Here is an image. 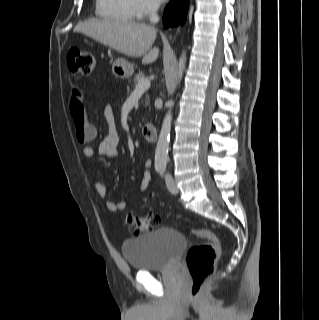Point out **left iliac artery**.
<instances>
[{
  "label": "left iliac artery",
  "instance_id": "obj_1",
  "mask_svg": "<svg viewBox=\"0 0 319 320\" xmlns=\"http://www.w3.org/2000/svg\"><path fill=\"white\" fill-rule=\"evenodd\" d=\"M160 172H161V174H163V172H164V168H162V169L160 170Z\"/></svg>",
  "mask_w": 319,
  "mask_h": 320
}]
</instances>
